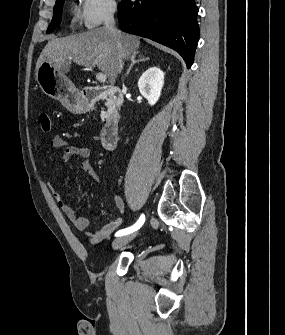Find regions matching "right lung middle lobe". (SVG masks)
Returning <instances> with one entry per match:
<instances>
[{
  "instance_id": "obj_1",
  "label": "right lung middle lobe",
  "mask_w": 285,
  "mask_h": 335,
  "mask_svg": "<svg viewBox=\"0 0 285 335\" xmlns=\"http://www.w3.org/2000/svg\"><path fill=\"white\" fill-rule=\"evenodd\" d=\"M63 4H64V0L61 3L56 4L54 6V15H53L52 21L49 25V28L47 29V32H46L47 34L51 33L56 27H58L60 25L61 17H62Z\"/></svg>"
}]
</instances>
